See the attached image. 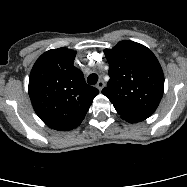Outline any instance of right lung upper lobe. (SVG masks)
Instances as JSON below:
<instances>
[{
	"label": "right lung upper lobe",
	"instance_id": "right-lung-upper-lobe-1",
	"mask_svg": "<svg viewBox=\"0 0 187 187\" xmlns=\"http://www.w3.org/2000/svg\"><path fill=\"white\" fill-rule=\"evenodd\" d=\"M76 52L65 47L43 53L29 77V96L50 128L69 131L80 125L98 89L89 86L74 65Z\"/></svg>",
	"mask_w": 187,
	"mask_h": 187
}]
</instances>
